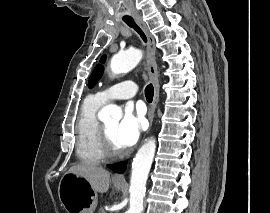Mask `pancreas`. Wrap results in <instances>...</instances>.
<instances>
[{
  "label": "pancreas",
  "mask_w": 270,
  "mask_h": 213,
  "mask_svg": "<svg viewBox=\"0 0 270 213\" xmlns=\"http://www.w3.org/2000/svg\"><path fill=\"white\" fill-rule=\"evenodd\" d=\"M99 213H106V211L103 208H100Z\"/></svg>",
  "instance_id": "1"
}]
</instances>
